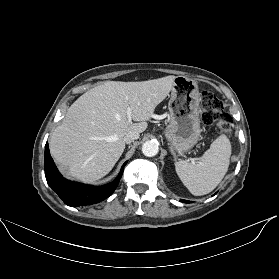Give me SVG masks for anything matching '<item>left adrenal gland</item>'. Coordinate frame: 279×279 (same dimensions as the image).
<instances>
[{
	"label": "left adrenal gland",
	"mask_w": 279,
	"mask_h": 279,
	"mask_svg": "<svg viewBox=\"0 0 279 279\" xmlns=\"http://www.w3.org/2000/svg\"><path fill=\"white\" fill-rule=\"evenodd\" d=\"M172 152V155L174 156V160L177 159V156H176V153L174 151H171Z\"/></svg>",
	"instance_id": "a2214340"
}]
</instances>
